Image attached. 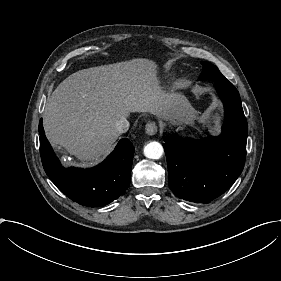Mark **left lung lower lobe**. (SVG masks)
I'll use <instances>...</instances> for the list:
<instances>
[{"label": "left lung lower lobe", "mask_w": 281, "mask_h": 281, "mask_svg": "<svg viewBox=\"0 0 281 281\" xmlns=\"http://www.w3.org/2000/svg\"><path fill=\"white\" fill-rule=\"evenodd\" d=\"M224 104L225 121L218 137L201 140L164 137L168 183L174 194L195 203H209L222 195L241 174L248 134L240 95L233 84L215 82Z\"/></svg>", "instance_id": "1"}]
</instances>
